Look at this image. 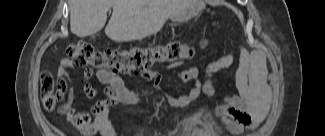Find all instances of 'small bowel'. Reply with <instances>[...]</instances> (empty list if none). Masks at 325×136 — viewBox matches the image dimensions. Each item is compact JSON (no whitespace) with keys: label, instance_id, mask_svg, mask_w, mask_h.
Masks as SVG:
<instances>
[{"label":"small bowel","instance_id":"small-bowel-1","mask_svg":"<svg viewBox=\"0 0 325 136\" xmlns=\"http://www.w3.org/2000/svg\"><path fill=\"white\" fill-rule=\"evenodd\" d=\"M235 60L232 52H227L222 57L210 62L206 68V80L200 78V71L192 67L186 71L174 69L178 63L168 65L171 75L181 83L194 82V87L187 93L180 96H173L164 91L161 87L163 77L157 75L155 71H149L143 75L146 82L151 83L162 99L173 108H184L196 101L202 93H210L212 86L209 81L214 73L229 68ZM74 66L69 60L64 59L58 69L57 86L60 98H68L64 107V112L68 121L74 125L81 133L87 136L100 133L103 136H118L111 121L109 120V107L114 104L133 105L140 101L141 93L129 90L117 74L104 70L95 73L91 69H85L83 77L89 81L94 75L96 79L104 85L109 86L106 91V98L97 102L89 111L78 109L72 97V83H69V71ZM235 85L238 91L237 96L229 97L221 106L217 115L221 122L229 130L252 129L256 124L262 122L267 113L270 96L266 85L265 57L263 52H250L243 46L239 47V64L235 73ZM84 90L89 97H94L96 91L87 82ZM228 115L237 121V124L224 118ZM93 117V121H91ZM209 126L208 121H204L203 128Z\"/></svg>","mask_w":325,"mask_h":136}]
</instances>
